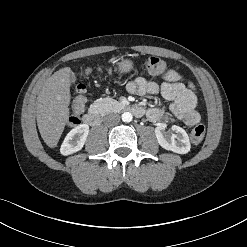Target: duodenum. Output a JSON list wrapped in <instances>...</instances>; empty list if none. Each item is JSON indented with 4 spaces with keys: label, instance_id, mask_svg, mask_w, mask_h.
I'll use <instances>...</instances> for the list:
<instances>
[{
    "label": "duodenum",
    "instance_id": "obj_1",
    "mask_svg": "<svg viewBox=\"0 0 247 247\" xmlns=\"http://www.w3.org/2000/svg\"><path fill=\"white\" fill-rule=\"evenodd\" d=\"M126 108L137 117H141L145 113L144 109L136 104L127 105ZM83 122L89 126L95 127L100 124L101 116L96 110H91L84 115Z\"/></svg>",
    "mask_w": 247,
    "mask_h": 247
}]
</instances>
